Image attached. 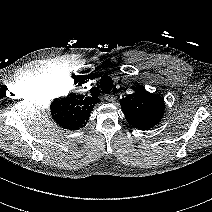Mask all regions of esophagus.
<instances>
[{"mask_svg":"<svg viewBox=\"0 0 212 212\" xmlns=\"http://www.w3.org/2000/svg\"><path fill=\"white\" fill-rule=\"evenodd\" d=\"M105 99L108 101V102H113L114 101V96L112 94H106L105 95Z\"/></svg>","mask_w":212,"mask_h":212,"instance_id":"esophagus-1","label":"esophagus"}]
</instances>
